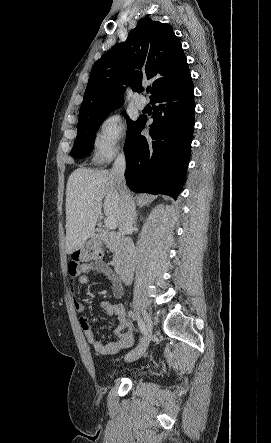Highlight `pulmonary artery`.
I'll return each instance as SVG.
<instances>
[{"instance_id": "1", "label": "pulmonary artery", "mask_w": 271, "mask_h": 443, "mask_svg": "<svg viewBox=\"0 0 271 443\" xmlns=\"http://www.w3.org/2000/svg\"><path fill=\"white\" fill-rule=\"evenodd\" d=\"M134 104L137 109L143 110L148 105V101L144 95L138 94L134 99Z\"/></svg>"}]
</instances>
